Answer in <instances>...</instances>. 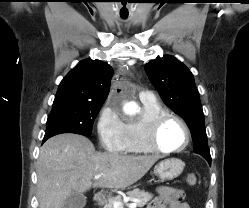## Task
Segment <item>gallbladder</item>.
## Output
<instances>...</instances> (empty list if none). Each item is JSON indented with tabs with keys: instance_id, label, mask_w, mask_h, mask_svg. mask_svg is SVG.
<instances>
[{
	"instance_id": "bac80fb5",
	"label": "gallbladder",
	"mask_w": 249,
	"mask_h": 208,
	"mask_svg": "<svg viewBox=\"0 0 249 208\" xmlns=\"http://www.w3.org/2000/svg\"><path fill=\"white\" fill-rule=\"evenodd\" d=\"M86 205V196L72 192L64 201L63 208H84Z\"/></svg>"
}]
</instances>
